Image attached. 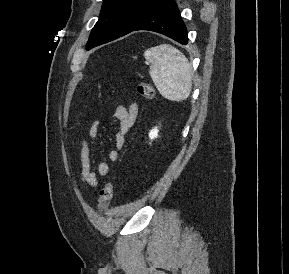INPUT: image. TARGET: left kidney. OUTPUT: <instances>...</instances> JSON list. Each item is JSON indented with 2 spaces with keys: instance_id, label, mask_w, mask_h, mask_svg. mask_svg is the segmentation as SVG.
I'll list each match as a JSON object with an SVG mask.
<instances>
[{
  "instance_id": "1",
  "label": "left kidney",
  "mask_w": 289,
  "mask_h": 274,
  "mask_svg": "<svg viewBox=\"0 0 289 274\" xmlns=\"http://www.w3.org/2000/svg\"><path fill=\"white\" fill-rule=\"evenodd\" d=\"M157 136H158V128L155 127L154 129H152V130L150 131V133H149V138H150L151 140H153V139L157 138Z\"/></svg>"
}]
</instances>
